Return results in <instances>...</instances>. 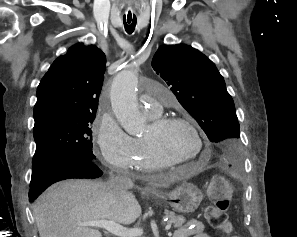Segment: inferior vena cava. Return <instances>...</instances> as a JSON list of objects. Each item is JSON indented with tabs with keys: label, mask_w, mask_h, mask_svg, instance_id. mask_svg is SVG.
Instances as JSON below:
<instances>
[{
	"label": "inferior vena cava",
	"mask_w": 297,
	"mask_h": 237,
	"mask_svg": "<svg viewBox=\"0 0 297 237\" xmlns=\"http://www.w3.org/2000/svg\"><path fill=\"white\" fill-rule=\"evenodd\" d=\"M110 184L119 194H127L128 189L133 186L132 180L128 176L121 174L113 176Z\"/></svg>",
	"instance_id": "obj_1"
}]
</instances>
